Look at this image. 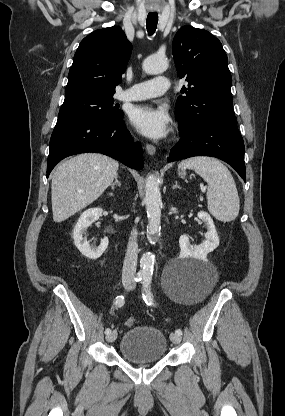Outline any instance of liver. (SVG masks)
Instances as JSON below:
<instances>
[{
	"mask_svg": "<svg viewBox=\"0 0 285 416\" xmlns=\"http://www.w3.org/2000/svg\"><path fill=\"white\" fill-rule=\"evenodd\" d=\"M118 162L102 154H80L57 168L51 186L54 222H64L95 202L111 186Z\"/></svg>",
	"mask_w": 285,
	"mask_h": 416,
	"instance_id": "6515ba94",
	"label": "liver"
}]
</instances>
